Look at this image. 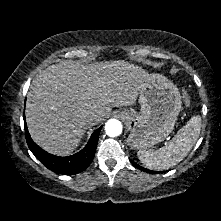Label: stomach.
<instances>
[{
	"mask_svg": "<svg viewBox=\"0 0 221 221\" xmlns=\"http://www.w3.org/2000/svg\"><path fill=\"white\" fill-rule=\"evenodd\" d=\"M141 110H123L121 118L130 134L127 139L132 149H146L162 142L174 129L182 109L178 88L166 77L149 75L139 90Z\"/></svg>",
	"mask_w": 221,
	"mask_h": 221,
	"instance_id": "0dacf381",
	"label": "stomach"
}]
</instances>
